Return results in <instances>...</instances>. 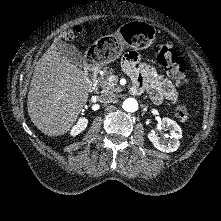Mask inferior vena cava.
<instances>
[{"label":"inferior vena cava","instance_id":"1","mask_svg":"<svg viewBox=\"0 0 221 221\" xmlns=\"http://www.w3.org/2000/svg\"><path fill=\"white\" fill-rule=\"evenodd\" d=\"M100 101L103 103H111L115 101V95L110 92H105L100 96Z\"/></svg>","mask_w":221,"mask_h":221}]
</instances>
